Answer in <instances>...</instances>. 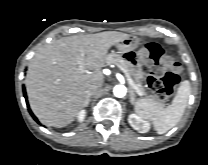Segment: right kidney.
<instances>
[{
    "label": "right kidney",
    "mask_w": 208,
    "mask_h": 165,
    "mask_svg": "<svg viewBox=\"0 0 208 165\" xmlns=\"http://www.w3.org/2000/svg\"><path fill=\"white\" fill-rule=\"evenodd\" d=\"M85 116H86V112L84 110H81L77 115L78 121L82 122Z\"/></svg>",
    "instance_id": "1"
}]
</instances>
